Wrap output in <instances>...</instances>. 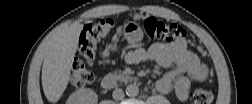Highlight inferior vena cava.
Returning a JSON list of instances; mask_svg holds the SVG:
<instances>
[{"mask_svg": "<svg viewBox=\"0 0 252 104\" xmlns=\"http://www.w3.org/2000/svg\"><path fill=\"white\" fill-rule=\"evenodd\" d=\"M124 92L122 89L120 88H116L113 93H112V97L114 100L116 101H120V100H123L124 99Z\"/></svg>", "mask_w": 252, "mask_h": 104, "instance_id": "602c4592", "label": "inferior vena cava"}]
</instances>
